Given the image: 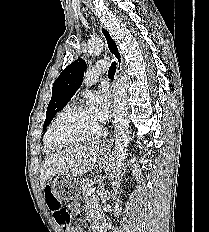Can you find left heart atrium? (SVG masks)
I'll return each instance as SVG.
<instances>
[{"instance_id": "left-heart-atrium-1", "label": "left heart atrium", "mask_w": 209, "mask_h": 232, "mask_svg": "<svg viewBox=\"0 0 209 232\" xmlns=\"http://www.w3.org/2000/svg\"><path fill=\"white\" fill-rule=\"evenodd\" d=\"M110 104V96L107 93L95 94L92 98L91 111L99 121H104L109 116Z\"/></svg>"}]
</instances>
